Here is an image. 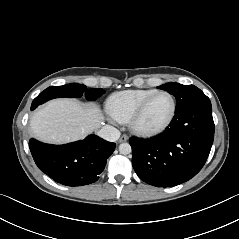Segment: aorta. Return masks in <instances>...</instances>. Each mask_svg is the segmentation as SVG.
I'll use <instances>...</instances> for the list:
<instances>
[{
	"mask_svg": "<svg viewBox=\"0 0 239 239\" xmlns=\"http://www.w3.org/2000/svg\"><path fill=\"white\" fill-rule=\"evenodd\" d=\"M132 151L131 146L129 143H121L119 145V152L123 155L130 154Z\"/></svg>",
	"mask_w": 239,
	"mask_h": 239,
	"instance_id": "1",
	"label": "aorta"
}]
</instances>
